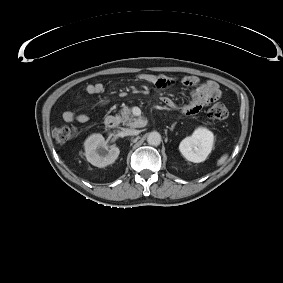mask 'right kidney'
<instances>
[{"mask_svg": "<svg viewBox=\"0 0 283 283\" xmlns=\"http://www.w3.org/2000/svg\"><path fill=\"white\" fill-rule=\"evenodd\" d=\"M85 156L92 165L103 168L115 162L119 156L118 147L109 146L101 134H93L84 142Z\"/></svg>", "mask_w": 283, "mask_h": 283, "instance_id": "1", "label": "right kidney"}]
</instances>
